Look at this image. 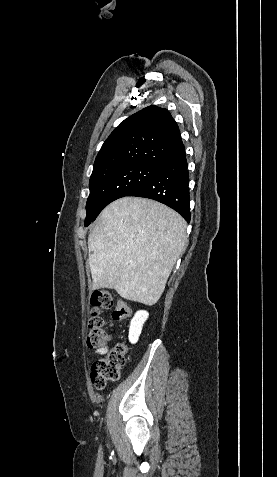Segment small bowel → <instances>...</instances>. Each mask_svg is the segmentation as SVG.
I'll return each mask as SVG.
<instances>
[{"label": "small bowel", "mask_w": 277, "mask_h": 477, "mask_svg": "<svg viewBox=\"0 0 277 477\" xmlns=\"http://www.w3.org/2000/svg\"><path fill=\"white\" fill-rule=\"evenodd\" d=\"M107 352H108V347L107 346L96 348L95 351H94L95 354H99V355H104Z\"/></svg>", "instance_id": "c3829d8e"}]
</instances>
